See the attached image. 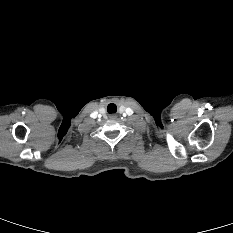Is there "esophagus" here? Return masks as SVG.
<instances>
[{"label":"esophagus","instance_id":"34e87169","mask_svg":"<svg viewBox=\"0 0 233 233\" xmlns=\"http://www.w3.org/2000/svg\"><path fill=\"white\" fill-rule=\"evenodd\" d=\"M110 118H115V115L114 114L110 115Z\"/></svg>","mask_w":233,"mask_h":233}]
</instances>
